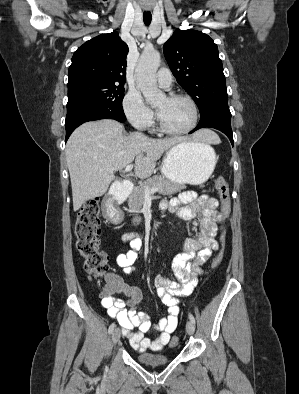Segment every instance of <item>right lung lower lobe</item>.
Instances as JSON below:
<instances>
[{"label":"right lung lower lobe","instance_id":"right-lung-lower-lobe-1","mask_svg":"<svg viewBox=\"0 0 299 394\" xmlns=\"http://www.w3.org/2000/svg\"><path fill=\"white\" fill-rule=\"evenodd\" d=\"M110 118L119 122H124V114H118L108 108L95 104H75L67 106L66 116V141L71 133L81 124L88 121Z\"/></svg>","mask_w":299,"mask_h":394}]
</instances>
